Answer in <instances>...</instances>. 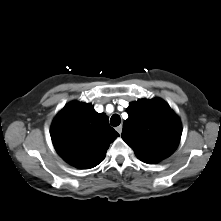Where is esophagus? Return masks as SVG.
I'll use <instances>...</instances> for the list:
<instances>
[{
	"label": "esophagus",
	"instance_id": "obj_1",
	"mask_svg": "<svg viewBox=\"0 0 221 221\" xmlns=\"http://www.w3.org/2000/svg\"><path fill=\"white\" fill-rule=\"evenodd\" d=\"M122 128H123L122 125H119V126L116 127V131H117L119 134H121Z\"/></svg>",
	"mask_w": 221,
	"mask_h": 221
}]
</instances>
